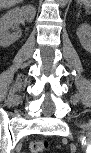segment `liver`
I'll return each mask as SVG.
<instances>
[{
    "mask_svg": "<svg viewBox=\"0 0 91 153\" xmlns=\"http://www.w3.org/2000/svg\"><path fill=\"white\" fill-rule=\"evenodd\" d=\"M20 2H22V0H1L0 4L1 7H10Z\"/></svg>",
    "mask_w": 91,
    "mask_h": 153,
    "instance_id": "1",
    "label": "liver"
}]
</instances>
